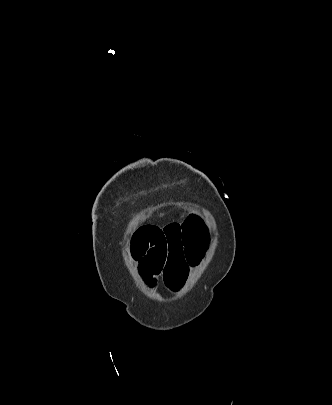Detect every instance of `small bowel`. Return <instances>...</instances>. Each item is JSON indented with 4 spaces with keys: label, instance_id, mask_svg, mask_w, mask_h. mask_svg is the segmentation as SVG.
<instances>
[{
    "label": "small bowel",
    "instance_id": "small-bowel-1",
    "mask_svg": "<svg viewBox=\"0 0 332 405\" xmlns=\"http://www.w3.org/2000/svg\"><path fill=\"white\" fill-rule=\"evenodd\" d=\"M184 230L177 222L163 226L144 225L133 235L129 252L137 266L141 283L159 295L162 283L171 291L185 283L194 262L184 259Z\"/></svg>",
    "mask_w": 332,
    "mask_h": 405
}]
</instances>
